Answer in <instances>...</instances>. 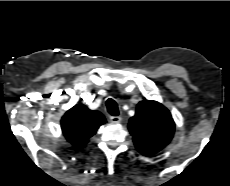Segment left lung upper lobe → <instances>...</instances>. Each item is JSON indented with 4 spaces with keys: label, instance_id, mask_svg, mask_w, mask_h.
<instances>
[{
    "label": "left lung upper lobe",
    "instance_id": "1",
    "mask_svg": "<svg viewBox=\"0 0 230 186\" xmlns=\"http://www.w3.org/2000/svg\"><path fill=\"white\" fill-rule=\"evenodd\" d=\"M129 131L136 149L152 156L172 139L175 124L170 112L156 101L145 100L137 105L135 116L130 118Z\"/></svg>",
    "mask_w": 230,
    "mask_h": 186
}]
</instances>
